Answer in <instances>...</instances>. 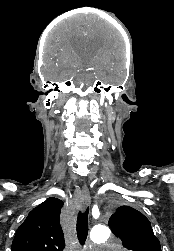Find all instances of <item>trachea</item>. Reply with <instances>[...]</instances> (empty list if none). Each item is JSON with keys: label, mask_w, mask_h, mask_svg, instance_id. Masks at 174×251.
I'll return each instance as SVG.
<instances>
[{"label": "trachea", "mask_w": 174, "mask_h": 251, "mask_svg": "<svg viewBox=\"0 0 174 251\" xmlns=\"http://www.w3.org/2000/svg\"><path fill=\"white\" fill-rule=\"evenodd\" d=\"M88 211L89 208L85 212H79L77 218V236L81 245L85 244L88 235Z\"/></svg>", "instance_id": "3493384b"}]
</instances>
